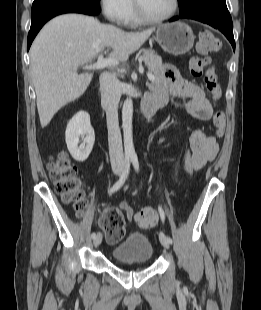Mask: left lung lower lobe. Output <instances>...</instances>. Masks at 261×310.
<instances>
[{
	"instance_id": "obj_1",
	"label": "left lung lower lobe",
	"mask_w": 261,
	"mask_h": 310,
	"mask_svg": "<svg viewBox=\"0 0 261 310\" xmlns=\"http://www.w3.org/2000/svg\"><path fill=\"white\" fill-rule=\"evenodd\" d=\"M179 18L194 19L219 29L227 37L235 50L232 19L226 6V0H212L192 14L173 17L169 21L173 22Z\"/></svg>"
}]
</instances>
